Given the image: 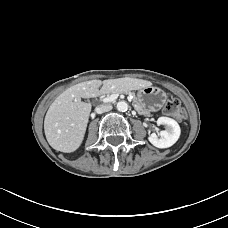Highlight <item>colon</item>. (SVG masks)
<instances>
[{
  "mask_svg": "<svg viewBox=\"0 0 228 228\" xmlns=\"http://www.w3.org/2000/svg\"><path fill=\"white\" fill-rule=\"evenodd\" d=\"M163 111L171 116H174L179 119L184 118V111L181 107L179 100L177 99H169L165 102L163 106Z\"/></svg>",
  "mask_w": 228,
  "mask_h": 228,
  "instance_id": "obj_1",
  "label": "colon"
}]
</instances>
